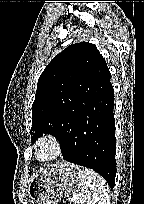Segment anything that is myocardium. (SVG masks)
<instances>
[{"mask_svg": "<svg viewBox=\"0 0 144 204\" xmlns=\"http://www.w3.org/2000/svg\"><path fill=\"white\" fill-rule=\"evenodd\" d=\"M43 144H49L53 148L52 155L47 158H41L39 156V148ZM63 153H64V143L61 140V138L54 133L43 134L40 138H38V140L34 145V157L37 161L41 163L53 162L58 158H60L63 155Z\"/></svg>", "mask_w": 144, "mask_h": 204, "instance_id": "1", "label": "myocardium"}]
</instances>
